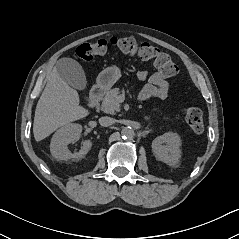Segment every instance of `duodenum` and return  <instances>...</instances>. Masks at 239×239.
Segmentation results:
<instances>
[{"instance_id": "obj_1", "label": "duodenum", "mask_w": 239, "mask_h": 239, "mask_svg": "<svg viewBox=\"0 0 239 239\" xmlns=\"http://www.w3.org/2000/svg\"><path fill=\"white\" fill-rule=\"evenodd\" d=\"M104 91L105 90L102 86H96L91 90L88 100V103L91 107H95L98 104L104 94Z\"/></svg>"}]
</instances>
